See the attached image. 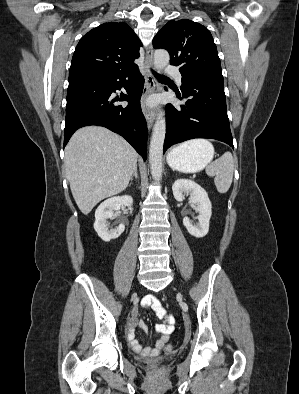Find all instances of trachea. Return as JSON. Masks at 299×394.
<instances>
[{
    "label": "trachea",
    "mask_w": 299,
    "mask_h": 394,
    "mask_svg": "<svg viewBox=\"0 0 299 394\" xmlns=\"http://www.w3.org/2000/svg\"><path fill=\"white\" fill-rule=\"evenodd\" d=\"M153 74L155 75V77H157L158 79H168L167 77H165L164 75H159L156 72L153 71Z\"/></svg>",
    "instance_id": "obj_1"
}]
</instances>
